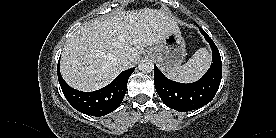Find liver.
<instances>
[{
  "mask_svg": "<svg viewBox=\"0 0 276 138\" xmlns=\"http://www.w3.org/2000/svg\"><path fill=\"white\" fill-rule=\"evenodd\" d=\"M177 22L164 9L118 11L80 26L66 41L61 56L64 80L80 91L108 85L121 71L134 65L144 47L158 45ZM131 57L124 66L121 55Z\"/></svg>",
  "mask_w": 276,
  "mask_h": 138,
  "instance_id": "6515ba94",
  "label": "liver"
}]
</instances>
